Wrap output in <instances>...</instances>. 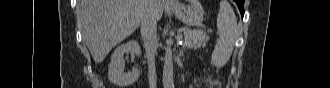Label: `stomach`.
Wrapping results in <instances>:
<instances>
[{
    "label": "stomach",
    "mask_w": 330,
    "mask_h": 88,
    "mask_svg": "<svg viewBox=\"0 0 330 88\" xmlns=\"http://www.w3.org/2000/svg\"><path fill=\"white\" fill-rule=\"evenodd\" d=\"M175 16L189 27H194L202 23L204 10L199 1H191L188 5L178 4L171 8Z\"/></svg>",
    "instance_id": "1"
}]
</instances>
